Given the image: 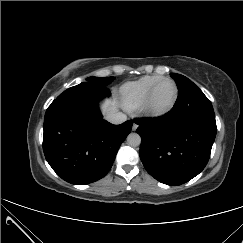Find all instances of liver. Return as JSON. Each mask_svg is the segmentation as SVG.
<instances>
[{"label":"liver","mask_w":243,"mask_h":243,"mask_svg":"<svg viewBox=\"0 0 243 243\" xmlns=\"http://www.w3.org/2000/svg\"><path fill=\"white\" fill-rule=\"evenodd\" d=\"M118 107H119V104H118L116 98H114L113 101H111V100H105L101 104V109H102V111H103V113H104L105 116H107L110 113L117 112Z\"/></svg>","instance_id":"1"}]
</instances>
